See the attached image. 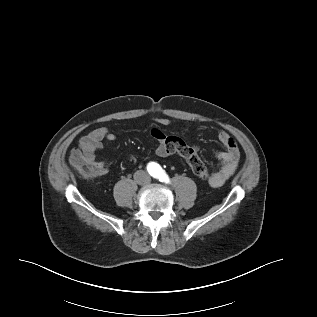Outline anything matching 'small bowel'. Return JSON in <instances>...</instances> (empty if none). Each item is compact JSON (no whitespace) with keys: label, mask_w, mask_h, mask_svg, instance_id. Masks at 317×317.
Masks as SVG:
<instances>
[{"label":"small bowel","mask_w":317,"mask_h":317,"mask_svg":"<svg viewBox=\"0 0 317 317\" xmlns=\"http://www.w3.org/2000/svg\"><path fill=\"white\" fill-rule=\"evenodd\" d=\"M154 121L161 126H168L171 124L170 119L164 116H156ZM151 134L157 141L156 153L160 157H168L173 154H178V150L190 147L179 137L165 136L159 128L152 129ZM115 140L116 135L110 132L106 127L94 128L80 139L78 149L71 153V162L74 164L77 158L92 161L97 169L96 176L106 175L108 173V169L102 163L95 160V153L103 148L104 141ZM218 140L223 145L224 151L217 154V159L220 162V169L212 174L208 182V184L213 188L220 187L233 175L240 158L238 145L228 133L221 131L218 134ZM192 148L197 152L196 147Z\"/></svg>","instance_id":"small-bowel-1"}]
</instances>
